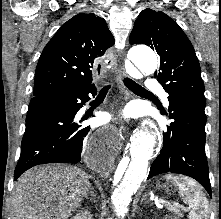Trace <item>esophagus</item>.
<instances>
[{
    "label": "esophagus",
    "mask_w": 221,
    "mask_h": 219,
    "mask_svg": "<svg viewBox=\"0 0 221 219\" xmlns=\"http://www.w3.org/2000/svg\"><path fill=\"white\" fill-rule=\"evenodd\" d=\"M116 75H117V81L119 82L120 86L123 87L122 78L126 76V72L123 66L118 65L116 70Z\"/></svg>",
    "instance_id": "obj_1"
}]
</instances>
